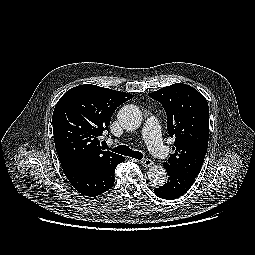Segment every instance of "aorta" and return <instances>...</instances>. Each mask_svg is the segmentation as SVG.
Segmentation results:
<instances>
[{"label": "aorta", "mask_w": 255, "mask_h": 255, "mask_svg": "<svg viewBox=\"0 0 255 255\" xmlns=\"http://www.w3.org/2000/svg\"><path fill=\"white\" fill-rule=\"evenodd\" d=\"M117 119L123 129L133 131L140 127L142 123V113L135 105H125L119 110ZM147 178L151 186L160 187L165 184L167 173L163 166L154 165L148 170Z\"/></svg>", "instance_id": "aorta-1"}]
</instances>
